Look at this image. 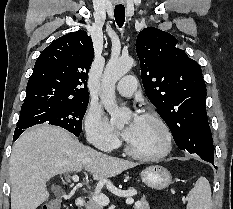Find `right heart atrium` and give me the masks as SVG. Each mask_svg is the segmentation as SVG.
I'll use <instances>...</instances> for the list:
<instances>
[{"instance_id":"obj_1","label":"right heart atrium","mask_w":233,"mask_h":209,"mask_svg":"<svg viewBox=\"0 0 233 209\" xmlns=\"http://www.w3.org/2000/svg\"><path fill=\"white\" fill-rule=\"evenodd\" d=\"M84 127L89 143L102 151H112L118 144L117 136L108 128L101 111L96 106H90L85 114Z\"/></svg>"}]
</instances>
